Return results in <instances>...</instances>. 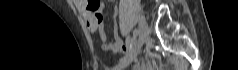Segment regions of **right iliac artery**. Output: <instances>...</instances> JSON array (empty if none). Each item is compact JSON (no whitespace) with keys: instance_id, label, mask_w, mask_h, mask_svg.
<instances>
[{"instance_id":"1","label":"right iliac artery","mask_w":238,"mask_h":70,"mask_svg":"<svg viewBox=\"0 0 238 70\" xmlns=\"http://www.w3.org/2000/svg\"><path fill=\"white\" fill-rule=\"evenodd\" d=\"M138 34H139V30H138V29H135V30L133 31V36H134V37H137Z\"/></svg>"}]
</instances>
